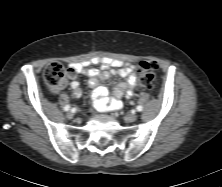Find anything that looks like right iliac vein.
Masks as SVG:
<instances>
[{
    "label": "right iliac vein",
    "instance_id": "right-iliac-vein-1",
    "mask_svg": "<svg viewBox=\"0 0 222 187\" xmlns=\"http://www.w3.org/2000/svg\"><path fill=\"white\" fill-rule=\"evenodd\" d=\"M66 117L68 119H72L74 117V113L72 111L67 112Z\"/></svg>",
    "mask_w": 222,
    "mask_h": 187
}]
</instances>
